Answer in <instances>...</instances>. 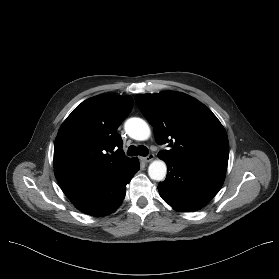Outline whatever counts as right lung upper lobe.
Here are the masks:
<instances>
[{
	"instance_id": "1",
	"label": "right lung upper lobe",
	"mask_w": 279,
	"mask_h": 279,
	"mask_svg": "<svg viewBox=\"0 0 279 279\" xmlns=\"http://www.w3.org/2000/svg\"><path fill=\"white\" fill-rule=\"evenodd\" d=\"M132 107L131 96H95L64 121L54 144V172L65 195L100 184L133 162L116 133Z\"/></svg>"
}]
</instances>
